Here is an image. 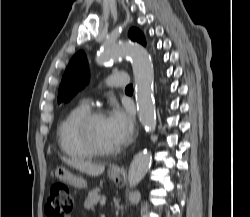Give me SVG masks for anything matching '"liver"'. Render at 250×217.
<instances>
[{"label":"liver","mask_w":250,"mask_h":217,"mask_svg":"<svg viewBox=\"0 0 250 217\" xmlns=\"http://www.w3.org/2000/svg\"><path fill=\"white\" fill-rule=\"evenodd\" d=\"M67 165L79 170L80 172L86 173L90 176H99L105 170L103 165H96L90 161L78 160V159H69L61 157Z\"/></svg>","instance_id":"6515ba94"}]
</instances>
